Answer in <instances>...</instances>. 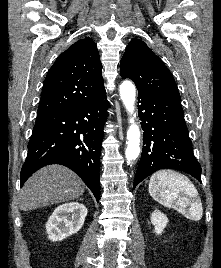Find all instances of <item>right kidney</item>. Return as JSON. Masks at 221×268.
I'll list each match as a JSON object with an SVG mask.
<instances>
[{
  "label": "right kidney",
  "mask_w": 221,
  "mask_h": 268,
  "mask_svg": "<svg viewBox=\"0 0 221 268\" xmlns=\"http://www.w3.org/2000/svg\"><path fill=\"white\" fill-rule=\"evenodd\" d=\"M87 215L85 205L78 202L65 203L55 209L46 223V231L51 241H61L77 233Z\"/></svg>",
  "instance_id": "obj_1"
}]
</instances>
